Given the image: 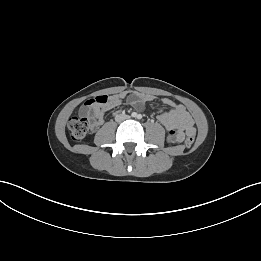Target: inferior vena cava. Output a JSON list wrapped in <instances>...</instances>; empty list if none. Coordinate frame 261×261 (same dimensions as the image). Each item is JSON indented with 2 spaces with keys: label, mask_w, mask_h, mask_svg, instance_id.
Returning <instances> with one entry per match:
<instances>
[{
  "label": "inferior vena cava",
  "mask_w": 261,
  "mask_h": 261,
  "mask_svg": "<svg viewBox=\"0 0 261 261\" xmlns=\"http://www.w3.org/2000/svg\"><path fill=\"white\" fill-rule=\"evenodd\" d=\"M127 118H128L127 115H125V114H120V115H117V116L115 117V120H116L117 122H121V121H124V120L127 119Z\"/></svg>",
  "instance_id": "inferior-vena-cava-1"
}]
</instances>
